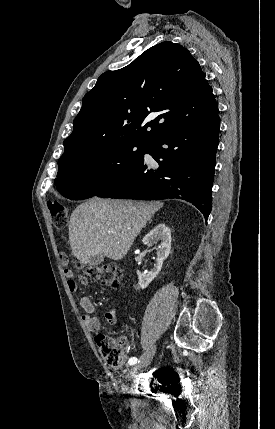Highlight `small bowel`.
Returning a JSON list of instances; mask_svg holds the SVG:
<instances>
[{
    "label": "small bowel",
    "mask_w": 275,
    "mask_h": 429,
    "mask_svg": "<svg viewBox=\"0 0 275 429\" xmlns=\"http://www.w3.org/2000/svg\"><path fill=\"white\" fill-rule=\"evenodd\" d=\"M64 274H65V277L67 279L68 289L71 292H76L77 282L74 279L73 271L70 269H65ZM80 282L82 284H86L87 279L80 277ZM80 306L84 311V313L82 315V321L85 324V326L87 327V329L89 331H92V332L99 331L101 328V321L97 316L94 315L95 306H94L93 302L91 301V299L87 296H83L80 299ZM104 317H105V320L107 321V323L110 325H114L117 321L116 312L114 309L107 311L105 313Z\"/></svg>",
    "instance_id": "c3829d8e"
}]
</instances>
